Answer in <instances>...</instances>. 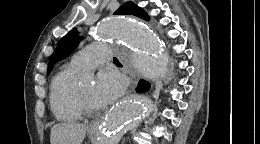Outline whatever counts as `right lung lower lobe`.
Masks as SVG:
<instances>
[{
	"instance_id": "98d812e1",
	"label": "right lung lower lobe",
	"mask_w": 260,
	"mask_h": 144,
	"mask_svg": "<svg viewBox=\"0 0 260 144\" xmlns=\"http://www.w3.org/2000/svg\"><path fill=\"white\" fill-rule=\"evenodd\" d=\"M150 88V84L145 80H140L137 91L138 92H145L148 91Z\"/></svg>"
}]
</instances>
